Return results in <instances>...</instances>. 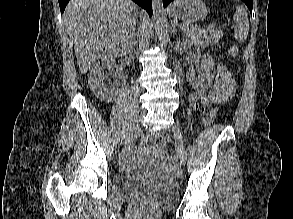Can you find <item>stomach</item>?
Instances as JSON below:
<instances>
[{
  "label": "stomach",
  "instance_id": "1",
  "mask_svg": "<svg viewBox=\"0 0 293 219\" xmlns=\"http://www.w3.org/2000/svg\"><path fill=\"white\" fill-rule=\"evenodd\" d=\"M170 15L188 22L206 18L208 8L202 0H177L170 8Z\"/></svg>",
  "mask_w": 293,
  "mask_h": 219
}]
</instances>
